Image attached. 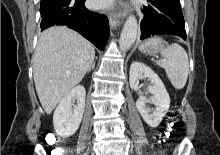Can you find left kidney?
Masks as SVG:
<instances>
[{
    "label": "left kidney",
    "mask_w": 220,
    "mask_h": 155,
    "mask_svg": "<svg viewBox=\"0 0 220 155\" xmlns=\"http://www.w3.org/2000/svg\"><path fill=\"white\" fill-rule=\"evenodd\" d=\"M143 77L151 81V85L148 87V92L152 94L150 99L143 96L142 92L139 90V80ZM129 82L131 89L137 91L139 94V98L136 101V107L141 117L150 127H157L161 123L163 117H165L170 106V97L162 80L149 66L136 61L130 66ZM146 103L153 104L155 109H149Z\"/></svg>",
    "instance_id": "1"
}]
</instances>
